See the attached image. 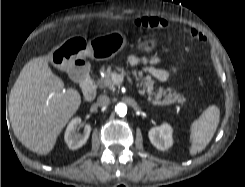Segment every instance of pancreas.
Here are the masks:
<instances>
[{
    "label": "pancreas",
    "instance_id": "pancreas-1",
    "mask_svg": "<svg viewBox=\"0 0 245 187\" xmlns=\"http://www.w3.org/2000/svg\"><path fill=\"white\" fill-rule=\"evenodd\" d=\"M101 72L104 74V77L99 79L97 81V86L100 88H109L113 89L114 88V83L112 80V75L114 72L112 71L111 66L102 67ZM134 78L136 82L140 83V86H143L147 89H150L153 85V81L150 76H143L142 73H134ZM142 94L144 93V90L140 91ZM149 100L151 102H156V101H177L182 103L185 101V98L178 94L176 91H169L168 93L164 92L162 89H159L154 95L152 96L151 93L149 94Z\"/></svg>",
    "mask_w": 245,
    "mask_h": 187
}]
</instances>
